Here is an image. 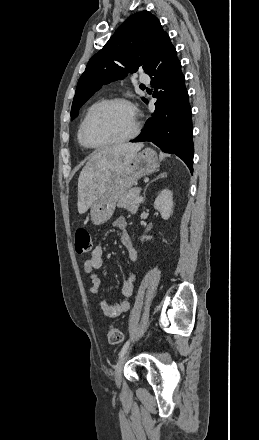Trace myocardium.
<instances>
[{
	"instance_id": "1",
	"label": "myocardium",
	"mask_w": 259,
	"mask_h": 440,
	"mask_svg": "<svg viewBox=\"0 0 259 440\" xmlns=\"http://www.w3.org/2000/svg\"><path fill=\"white\" fill-rule=\"evenodd\" d=\"M112 104H124V105H127L128 107L131 108V110L133 111V114H134V127H133L132 131L128 135H126L125 137L120 138L118 140L100 143V144L91 143L87 138V127H88L90 120L97 112H99L103 108H105L109 105H112ZM140 129H141V123L139 120L138 111H137L136 107L133 105V103L131 101H129L128 99H125L122 97H114V98H109V99H105V100L98 102L89 110V112L86 114V116L83 119V122L81 124L80 137H81L82 143L84 144V146L86 148L98 150V149L106 148L109 146L123 144V143H126V142L132 140L139 134Z\"/></svg>"
}]
</instances>
